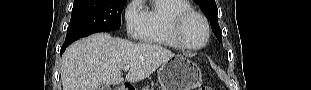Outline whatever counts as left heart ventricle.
Returning a JSON list of instances; mask_svg holds the SVG:
<instances>
[{"label": "left heart ventricle", "mask_w": 311, "mask_h": 90, "mask_svg": "<svg viewBox=\"0 0 311 90\" xmlns=\"http://www.w3.org/2000/svg\"><path fill=\"white\" fill-rule=\"evenodd\" d=\"M183 35L189 43L193 45L200 44L205 38L203 22L197 17L191 18L183 28Z\"/></svg>", "instance_id": "b2bd125f"}]
</instances>
